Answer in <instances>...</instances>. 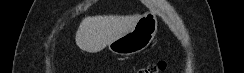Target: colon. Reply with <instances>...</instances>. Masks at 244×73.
Wrapping results in <instances>:
<instances>
[{
  "label": "colon",
  "instance_id": "colon-1",
  "mask_svg": "<svg viewBox=\"0 0 244 73\" xmlns=\"http://www.w3.org/2000/svg\"><path fill=\"white\" fill-rule=\"evenodd\" d=\"M165 68L164 62H158L157 64L148 65L145 68L139 70V73H157Z\"/></svg>",
  "mask_w": 244,
  "mask_h": 73
}]
</instances>
